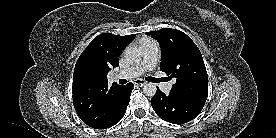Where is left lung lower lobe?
<instances>
[{
	"instance_id": "left-lung-lower-lobe-1",
	"label": "left lung lower lobe",
	"mask_w": 276,
	"mask_h": 138,
	"mask_svg": "<svg viewBox=\"0 0 276 138\" xmlns=\"http://www.w3.org/2000/svg\"><path fill=\"white\" fill-rule=\"evenodd\" d=\"M151 105L161 119L173 124H184L193 120L204 106L172 94L166 95L159 88L151 100Z\"/></svg>"
}]
</instances>
